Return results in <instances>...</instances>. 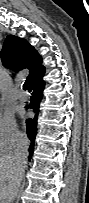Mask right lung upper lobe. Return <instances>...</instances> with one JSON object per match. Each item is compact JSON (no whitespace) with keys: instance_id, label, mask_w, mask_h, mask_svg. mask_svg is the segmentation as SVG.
Instances as JSON below:
<instances>
[{"instance_id":"1","label":"right lung upper lobe","mask_w":89,"mask_h":203,"mask_svg":"<svg viewBox=\"0 0 89 203\" xmlns=\"http://www.w3.org/2000/svg\"><path fill=\"white\" fill-rule=\"evenodd\" d=\"M1 59L4 67L11 70L29 69L28 83L45 70L42 66V57L35 48L27 40L14 35L7 36L1 51Z\"/></svg>"}]
</instances>
